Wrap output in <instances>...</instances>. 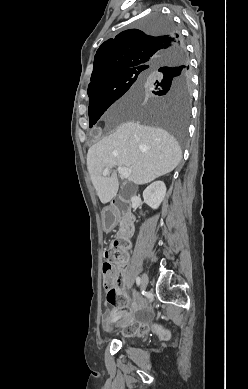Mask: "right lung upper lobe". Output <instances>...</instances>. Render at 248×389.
Listing matches in <instances>:
<instances>
[{
	"instance_id": "cb5924a9",
	"label": "right lung upper lobe",
	"mask_w": 248,
	"mask_h": 389,
	"mask_svg": "<svg viewBox=\"0 0 248 389\" xmlns=\"http://www.w3.org/2000/svg\"><path fill=\"white\" fill-rule=\"evenodd\" d=\"M180 41L181 37L175 31L152 35L138 29L126 30L115 39H108L95 54L88 93L109 83L120 72L141 68L151 70L178 52Z\"/></svg>"
}]
</instances>
